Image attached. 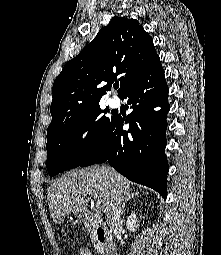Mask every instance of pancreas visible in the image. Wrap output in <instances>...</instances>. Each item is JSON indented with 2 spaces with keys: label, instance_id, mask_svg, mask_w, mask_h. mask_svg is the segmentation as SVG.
Masks as SVG:
<instances>
[{
  "label": "pancreas",
  "instance_id": "pancreas-1",
  "mask_svg": "<svg viewBox=\"0 0 221 255\" xmlns=\"http://www.w3.org/2000/svg\"><path fill=\"white\" fill-rule=\"evenodd\" d=\"M97 225H99V221H98V220L91 221L90 224L88 225V229H89V231H91V233H92V234H91V240H92V241H95V236H94L93 232H94L95 227H96ZM96 247H98L99 250L102 249L101 246L98 245V244L96 245Z\"/></svg>",
  "mask_w": 221,
  "mask_h": 255
}]
</instances>
